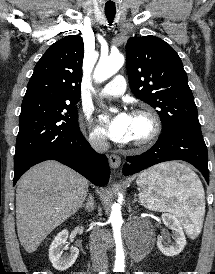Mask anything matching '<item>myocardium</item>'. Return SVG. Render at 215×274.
Listing matches in <instances>:
<instances>
[{
	"label": "myocardium",
	"mask_w": 215,
	"mask_h": 274,
	"mask_svg": "<svg viewBox=\"0 0 215 274\" xmlns=\"http://www.w3.org/2000/svg\"><path fill=\"white\" fill-rule=\"evenodd\" d=\"M132 115L145 118L149 123V131L144 137L130 141V144L134 147H146L152 144L158 138L162 130L161 120L157 113L149 107H141L135 109Z\"/></svg>",
	"instance_id": "myocardium-1"
}]
</instances>
